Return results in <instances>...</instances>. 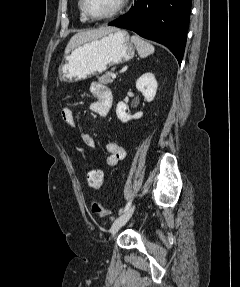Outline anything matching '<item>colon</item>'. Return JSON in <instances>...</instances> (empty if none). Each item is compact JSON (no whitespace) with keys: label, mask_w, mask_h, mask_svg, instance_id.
<instances>
[{"label":"colon","mask_w":240,"mask_h":287,"mask_svg":"<svg viewBox=\"0 0 240 287\" xmlns=\"http://www.w3.org/2000/svg\"><path fill=\"white\" fill-rule=\"evenodd\" d=\"M86 181L90 188L99 189L103 185L104 175L98 167H89L86 171ZM91 211L100 217H110L111 211L106 209L100 202L93 201L91 203Z\"/></svg>","instance_id":"colon-1"}]
</instances>
